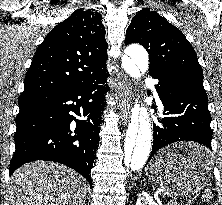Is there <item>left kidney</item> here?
Masks as SVG:
<instances>
[{
  "label": "left kidney",
  "instance_id": "1",
  "mask_svg": "<svg viewBox=\"0 0 222 205\" xmlns=\"http://www.w3.org/2000/svg\"><path fill=\"white\" fill-rule=\"evenodd\" d=\"M136 205H157V204L154 202V200L148 193L142 192L137 199Z\"/></svg>",
  "mask_w": 222,
  "mask_h": 205
}]
</instances>
